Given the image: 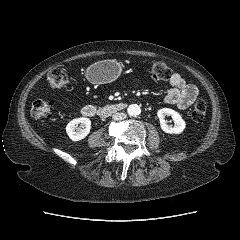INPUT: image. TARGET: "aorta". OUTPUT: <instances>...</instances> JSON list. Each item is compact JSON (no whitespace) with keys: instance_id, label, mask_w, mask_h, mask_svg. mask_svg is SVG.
Wrapping results in <instances>:
<instances>
[{"instance_id":"762f6f07","label":"aorta","mask_w":240,"mask_h":240,"mask_svg":"<svg viewBox=\"0 0 240 240\" xmlns=\"http://www.w3.org/2000/svg\"><path fill=\"white\" fill-rule=\"evenodd\" d=\"M127 112L129 116H138L141 113V108L137 104H131L129 105Z\"/></svg>"}]
</instances>
